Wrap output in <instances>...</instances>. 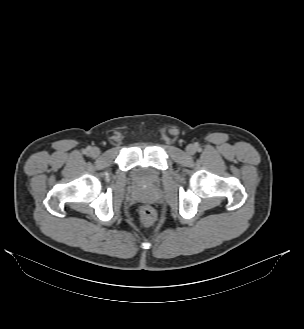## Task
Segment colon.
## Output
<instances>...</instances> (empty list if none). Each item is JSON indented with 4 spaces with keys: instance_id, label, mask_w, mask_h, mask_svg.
I'll list each match as a JSON object with an SVG mask.
<instances>
[{
    "instance_id": "1",
    "label": "colon",
    "mask_w": 304,
    "mask_h": 329,
    "mask_svg": "<svg viewBox=\"0 0 304 329\" xmlns=\"http://www.w3.org/2000/svg\"><path fill=\"white\" fill-rule=\"evenodd\" d=\"M140 223L143 226H151L156 220V213L150 206H143L139 211Z\"/></svg>"
}]
</instances>
